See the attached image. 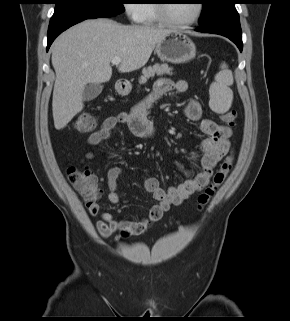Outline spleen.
<instances>
[{"mask_svg":"<svg viewBox=\"0 0 290 321\" xmlns=\"http://www.w3.org/2000/svg\"><path fill=\"white\" fill-rule=\"evenodd\" d=\"M232 84V72L226 64H222L221 70L215 75V81L209 89V106L214 112L225 113L230 109L233 100V92L230 89Z\"/></svg>","mask_w":290,"mask_h":321,"instance_id":"obj_1","label":"spleen"}]
</instances>
